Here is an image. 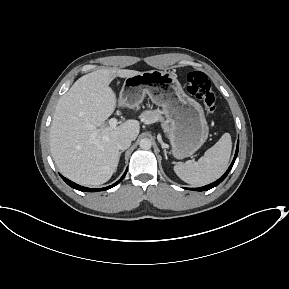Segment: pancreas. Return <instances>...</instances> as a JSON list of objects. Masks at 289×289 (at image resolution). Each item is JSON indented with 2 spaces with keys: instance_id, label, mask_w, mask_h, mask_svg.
<instances>
[{
  "instance_id": "cf45deb5",
  "label": "pancreas",
  "mask_w": 289,
  "mask_h": 289,
  "mask_svg": "<svg viewBox=\"0 0 289 289\" xmlns=\"http://www.w3.org/2000/svg\"><path fill=\"white\" fill-rule=\"evenodd\" d=\"M140 118L145 123H152V122L160 121L162 122V126L165 131L170 130L167 122L164 121V118L161 116V112L159 110L144 111L141 114Z\"/></svg>"
}]
</instances>
